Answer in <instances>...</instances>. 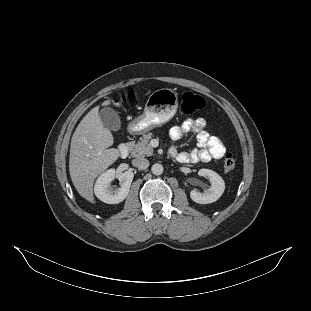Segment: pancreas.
<instances>
[{
	"mask_svg": "<svg viewBox=\"0 0 311 311\" xmlns=\"http://www.w3.org/2000/svg\"><path fill=\"white\" fill-rule=\"evenodd\" d=\"M153 134H144L143 138L135 143V141H130L127 143L128 149L133 157H144L153 155V148L150 145V140Z\"/></svg>",
	"mask_w": 311,
	"mask_h": 311,
	"instance_id": "obj_1",
	"label": "pancreas"
}]
</instances>
